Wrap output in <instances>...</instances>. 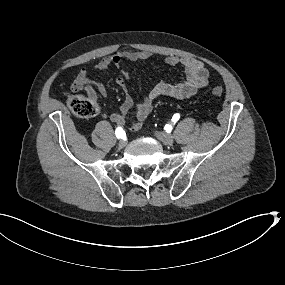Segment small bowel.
Returning <instances> with one entry per match:
<instances>
[{"label": "small bowel", "mask_w": 285, "mask_h": 285, "mask_svg": "<svg viewBox=\"0 0 285 285\" xmlns=\"http://www.w3.org/2000/svg\"><path fill=\"white\" fill-rule=\"evenodd\" d=\"M150 56L151 54L147 51H120L103 57L96 64V68L98 70H106L110 66L119 68L124 61H146ZM165 63L170 66H183L185 78L176 83L158 82L150 89L144 100L136 104L127 92L126 76L121 75L117 78V84L122 88L125 96L119 111L110 116V120L113 123L124 125L125 116L134 109L135 118L130 122V129L138 131L151 113L153 104L158 98L164 96L176 99L190 98L208 84L209 72L204 63L195 58L171 55L165 58ZM80 91H84L94 102H96L98 95L102 97H107L108 95L107 88L103 84L91 80L85 69L78 72L71 85L73 94Z\"/></svg>", "instance_id": "1"}]
</instances>
